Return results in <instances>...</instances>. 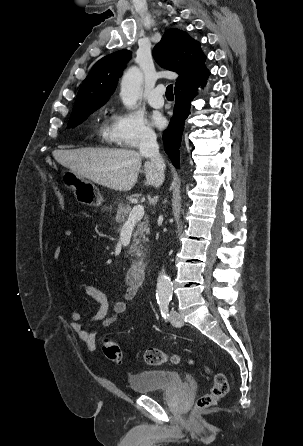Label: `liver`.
<instances>
[{"mask_svg": "<svg viewBox=\"0 0 303 446\" xmlns=\"http://www.w3.org/2000/svg\"><path fill=\"white\" fill-rule=\"evenodd\" d=\"M53 156L58 163L75 171L82 177L116 191H129L137 182L142 168L143 155L132 149L55 150ZM144 185L159 187L164 175L155 165L144 162Z\"/></svg>", "mask_w": 303, "mask_h": 446, "instance_id": "1", "label": "liver"}]
</instances>
